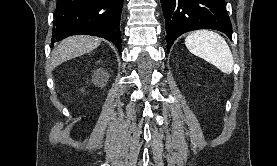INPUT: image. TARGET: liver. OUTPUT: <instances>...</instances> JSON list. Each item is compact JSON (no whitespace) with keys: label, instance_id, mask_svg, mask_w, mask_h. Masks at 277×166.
Returning <instances> with one entry per match:
<instances>
[{"label":"liver","instance_id":"6515ba94","mask_svg":"<svg viewBox=\"0 0 277 166\" xmlns=\"http://www.w3.org/2000/svg\"><path fill=\"white\" fill-rule=\"evenodd\" d=\"M101 44V39L92 36L75 35L61 41L52 52L50 67L93 51Z\"/></svg>","mask_w":277,"mask_h":166}]
</instances>
